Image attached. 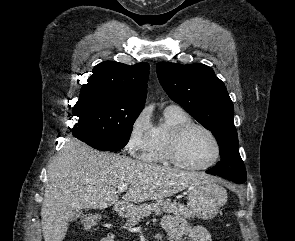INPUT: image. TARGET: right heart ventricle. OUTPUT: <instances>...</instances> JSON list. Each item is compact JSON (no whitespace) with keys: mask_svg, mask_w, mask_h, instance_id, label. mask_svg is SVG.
Wrapping results in <instances>:
<instances>
[{"mask_svg":"<svg viewBox=\"0 0 295 241\" xmlns=\"http://www.w3.org/2000/svg\"><path fill=\"white\" fill-rule=\"evenodd\" d=\"M165 119L153 126L149 143L141 154V158L148 162L165 163L168 161L165 146L170 132L179 125L191 122V117L180 107L169 106L164 112Z\"/></svg>","mask_w":295,"mask_h":241,"instance_id":"e07e8e85","label":"right heart ventricle"}]
</instances>
